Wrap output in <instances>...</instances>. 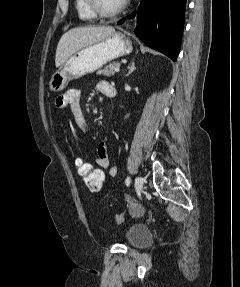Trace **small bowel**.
I'll list each match as a JSON object with an SVG mask.
<instances>
[{
	"instance_id": "1",
	"label": "small bowel",
	"mask_w": 240,
	"mask_h": 287,
	"mask_svg": "<svg viewBox=\"0 0 240 287\" xmlns=\"http://www.w3.org/2000/svg\"><path fill=\"white\" fill-rule=\"evenodd\" d=\"M97 89L105 96H109L110 93L115 90L113 85L107 81H101L97 84ZM110 97V96H109ZM58 109H69L73 115L75 124L83 132L87 133V128L84 119V113L81 105V91L78 89H70L65 93L59 95L55 101ZM95 164L101 169H108L109 175L114 178L117 175L118 169L115 165L111 164L110 158L107 152V143L103 141L99 144L97 149V155L95 157ZM126 202L128 203L130 210L133 214H140L143 211V206L135 201L131 196H126Z\"/></svg>"
}]
</instances>
